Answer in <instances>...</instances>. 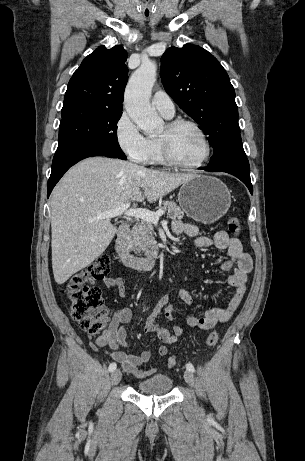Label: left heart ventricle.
Returning <instances> with one entry per match:
<instances>
[{"label": "left heart ventricle", "mask_w": 305, "mask_h": 461, "mask_svg": "<svg viewBox=\"0 0 305 461\" xmlns=\"http://www.w3.org/2000/svg\"><path fill=\"white\" fill-rule=\"evenodd\" d=\"M167 135V127L164 128L160 137ZM172 150L175 156L184 163L199 161L204 153L205 146L198 132L191 126H182L171 137Z\"/></svg>", "instance_id": "left-heart-ventricle-1"}]
</instances>
